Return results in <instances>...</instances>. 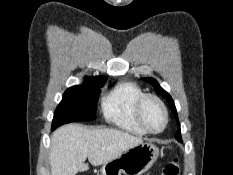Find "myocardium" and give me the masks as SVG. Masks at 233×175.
<instances>
[{"instance_id": "f54148a6", "label": "myocardium", "mask_w": 233, "mask_h": 175, "mask_svg": "<svg viewBox=\"0 0 233 175\" xmlns=\"http://www.w3.org/2000/svg\"><path fill=\"white\" fill-rule=\"evenodd\" d=\"M148 100L155 101L160 106V108H161V110L163 112V115H164V124H163L162 128L159 129V130H152V129H150L148 127V125L146 124L145 120H144V117H143V107H144L145 103ZM135 115H136V118H137L139 124L142 126V128L146 132L152 133V134L161 133L166 128V126L168 124V121H169L168 110H167V107H166L165 103L163 102V100L160 97H158L155 94H144V95H142L137 100L136 105H135Z\"/></svg>"}]
</instances>
